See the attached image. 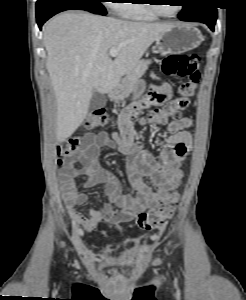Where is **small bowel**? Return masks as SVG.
<instances>
[{"label": "small bowel", "mask_w": 246, "mask_h": 300, "mask_svg": "<svg viewBox=\"0 0 246 300\" xmlns=\"http://www.w3.org/2000/svg\"><path fill=\"white\" fill-rule=\"evenodd\" d=\"M171 91V85L167 82L152 85L142 100L125 107L119 114L120 134L101 132L85 135L76 159L68 161L61 168L60 188L75 226L94 231L102 223L125 222L133 215L154 207L169 189L179 186L183 178L182 164L192 148V136L187 130L192 125L191 119L180 117L167 124L171 135L165 140L159 160L139 148L135 142L136 132L132 123L141 110L165 103ZM155 95H162L164 100L156 102ZM175 104L178 111H181L189 105V100L180 98ZM103 147L114 149L127 158L126 169L135 195L123 189L114 172L100 166L98 156ZM74 162H79L81 167H75ZM79 176L86 177V188L104 185L108 202L100 208H91L87 214L82 213L78 207L86 202L87 196L77 189L76 178ZM145 177L151 179L153 187L146 184ZM114 206L119 210H115Z\"/></svg>", "instance_id": "small-bowel-1"}]
</instances>
